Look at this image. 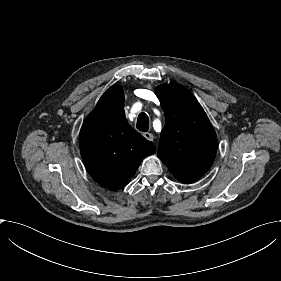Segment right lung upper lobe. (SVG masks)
Returning <instances> with one entry per match:
<instances>
[{"mask_svg": "<svg viewBox=\"0 0 281 281\" xmlns=\"http://www.w3.org/2000/svg\"><path fill=\"white\" fill-rule=\"evenodd\" d=\"M80 151L92 178L112 190L126 186L143 159L155 153L154 144L127 123L120 85L111 86L85 119Z\"/></svg>", "mask_w": 281, "mask_h": 281, "instance_id": "right-lung-upper-lobe-1", "label": "right lung upper lobe"}]
</instances>
